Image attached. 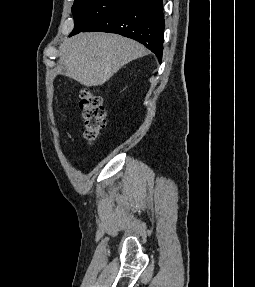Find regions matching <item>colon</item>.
I'll list each match as a JSON object with an SVG mask.
<instances>
[{
	"mask_svg": "<svg viewBox=\"0 0 255 287\" xmlns=\"http://www.w3.org/2000/svg\"><path fill=\"white\" fill-rule=\"evenodd\" d=\"M80 110L84 126L85 140L93 144L106 125V112L100 95L89 89L80 92Z\"/></svg>",
	"mask_w": 255,
	"mask_h": 287,
	"instance_id": "colon-1",
	"label": "colon"
}]
</instances>
